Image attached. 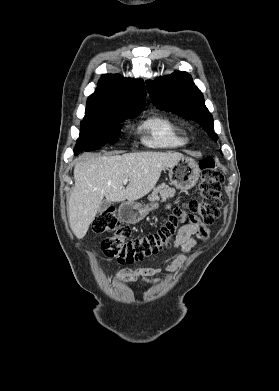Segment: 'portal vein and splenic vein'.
<instances>
[{"instance_id": "obj_1", "label": "portal vein and splenic vein", "mask_w": 279, "mask_h": 391, "mask_svg": "<svg viewBox=\"0 0 279 391\" xmlns=\"http://www.w3.org/2000/svg\"><path fill=\"white\" fill-rule=\"evenodd\" d=\"M127 182H128V179H125V180L123 181V184L125 185V184H127Z\"/></svg>"}]
</instances>
